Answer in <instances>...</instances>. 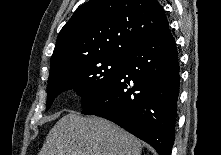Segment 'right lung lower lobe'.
<instances>
[{
  "mask_svg": "<svg viewBox=\"0 0 221 155\" xmlns=\"http://www.w3.org/2000/svg\"><path fill=\"white\" fill-rule=\"evenodd\" d=\"M179 81L178 52L168 27L129 51L114 80L83 107L82 114L106 118L159 155H170Z\"/></svg>",
  "mask_w": 221,
  "mask_h": 155,
  "instance_id": "98d812e1",
  "label": "right lung lower lobe"
}]
</instances>
